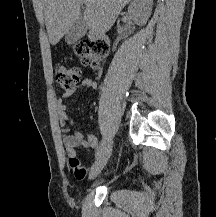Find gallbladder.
Here are the masks:
<instances>
[{
    "label": "gallbladder",
    "instance_id": "1",
    "mask_svg": "<svg viewBox=\"0 0 216 217\" xmlns=\"http://www.w3.org/2000/svg\"><path fill=\"white\" fill-rule=\"evenodd\" d=\"M86 33L82 17H79L68 30L65 36V42L69 45L75 44Z\"/></svg>",
    "mask_w": 216,
    "mask_h": 217
}]
</instances>
